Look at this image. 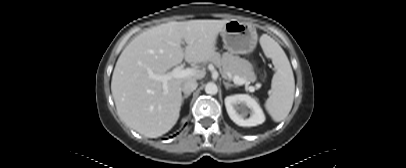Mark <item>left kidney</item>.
I'll return each instance as SVG.
<instances>
[{
    "instance_id": "1",
    "label": "left kidney",
    "mask_w": 406,
    "mask_h": 168,
    "mask_svg": "<svg viewBox=\"0 0 406 168\" xmlns=\"http://www.w3.org/2000/svg\"><path fill=\"white\" fill-rule=\"evenodd\" d=\"M225 107L231 120L239 126L251 127L265 121V115L258 102L247 94L227 96ZM249 113L250 117L247 118Z\"/></svg>"
}]
</instances>
